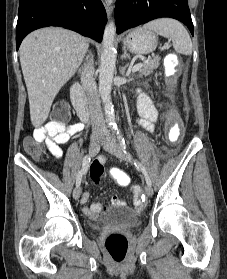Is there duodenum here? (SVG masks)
I'll return each instance as SVG.
<instances>
[{
    "mask_svg": "<svg viewBox=\"0 0 227 279\" xmlns=\"http://www.w3.org/2000/svg\"><path fill=\"white\" fill-rule=\"evenodd\" d=\"M73 106L81 121L87 122L89 119V106L84 91L79 83H74L70 89Z\"/></svg>",
    "mask_w": 227,
    "mask_h": 279,
    "instance_id": "1",
    "label": "duodenum"
}]
</instances>
